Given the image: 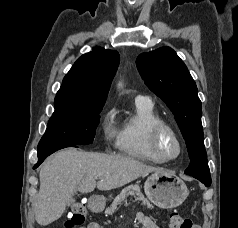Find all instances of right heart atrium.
Listing matches in <instances>:
<instances>
[{
	"instance_id": "right-heart-atrium-1",
	"label": "right heart atrium",
	"mask_w": 238,
	"mask_h": 228,
	"mask_svg": "<svg viewBox=\"0 0 238 228\" xmlns=\"http://www.w3.org/2000/svg\"><path fill=\"white\" fill-rule=\"evenodd\" d=\"M115 117L116 112L114 109L108 110L103 117L102 132L104 140L108 144L117 142L119 130L115 125Z\"/></svg>"
}]
</instances>
